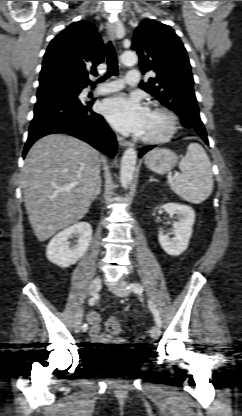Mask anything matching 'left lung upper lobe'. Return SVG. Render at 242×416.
Returning <instances> with one entry per match:
<instances>
[{
    "mask_svg": "<svg viewBox=\"0 0 242 416\" xmlns=\"http://www.w3.org/2000/svg\"><path fill=\"white\" fill-rule=\"evenodd\" d=\"M132 49L139 55L141 71L156 73L140 87L177 113L183 126L206 135L193 90L191 65L174 30L155 20H145L135 30Z\"/></svg>",
    "mask_w": 242,
    "mask_h": 416,
    "instance_id": "left-lung-upper-lobe-1",
    "label": "left lung upper lobe"
}]
</instances>
